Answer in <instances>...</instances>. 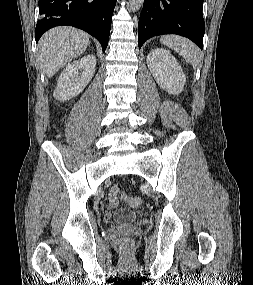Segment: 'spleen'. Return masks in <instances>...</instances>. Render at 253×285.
<instances>
[{"instance_id": "3e777b00", "label": "spleen", "mask_w": 253, "mask_h": 285, "mask_svg": "<svg viewBox=\"0 0 253 285\" xmlns=\"http://www.w3.org/2000/svg\"><path fill=\"white\" fill-rule=\"evenodd\" d=\"M160 41L163 45L182 55L194 69L202 64L203 59L199 48L188 39L177 35H165L160 38Z\"/></svg>"}]
</instances>
